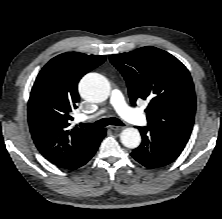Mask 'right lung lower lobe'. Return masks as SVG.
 I'll return each instance as SVG.
<instances>
[{"mask_svg": "<svg viewBox=\"0 0 222 219\" xmlns=\"http://www.w3.org/2000/svg\"><path fill=\"white\" fill-rule=\"evenodd\" d=\"M105 135H106L105 128L98 130L93 140L87 145L86 149L75 160V162L67 169H77L86 164L96 153L100 145V142L102 141Z\"/></svg>", "mask_w": 222, "mask_h": 219, "instance_id": "right-lung-lower-lobe-1", "label": "right lung lower lobe"}]
</instances>
